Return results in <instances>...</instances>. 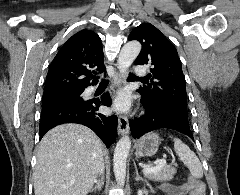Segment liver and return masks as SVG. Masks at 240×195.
<instances>
[{"label": "liver", "mask_w": 240, "mask_h": 195, "mask_svg": "<svg viewBox=\"0 0 240 195\" xmlns=\"http://www.w3.org/2000/svg\"><path fill=\"white\" fill-rule=\"evenodd\" d=\"M103 143L80 123H62L39 143L34 171L35 195H86L103 163Z\"/></svg>", "instance_id": "6515ba94"}]
</instances>
